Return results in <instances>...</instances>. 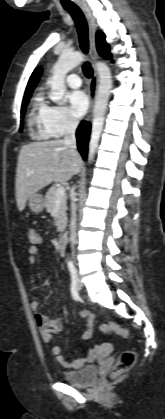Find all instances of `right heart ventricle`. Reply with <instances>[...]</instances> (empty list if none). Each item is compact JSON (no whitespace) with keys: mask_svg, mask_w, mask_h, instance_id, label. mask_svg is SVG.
Listing matches in <instances>:
<instances>
[{"mask_svg":"<svg viewBox=\"0 0 165 419\" xmlns=\"http://www.w3.org/2000/svg\"><path fill=\"white\" fill-rule=\"evenodd\" d=\"M45 108L41 94L36 95L33 100L29 118V125L34 136L39 138H48L50 134L45 124Z\"/></svg>","mask_w":165,"mask_h":419,"instance_id":"e07e8e85","label":"right heart ventricle"}]
</instances>
